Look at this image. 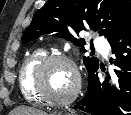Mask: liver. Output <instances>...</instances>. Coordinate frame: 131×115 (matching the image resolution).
I'll return each mask as SVG.
<instances>
[{
    "mask_svg": "<svg viewBox=\"0 0 131 115\" xmlns=\"http://www.w3.org/2000/svg\"><path fill=\"white\" fill-rule=\"evenodd\" d=\"M12 115H47L45 112L30 107H19L12 111Z\"/></svg>",
    "mask_w": 131,
    "mask_h": 115,
    "instance_id": "1",
    "label": "liver"
}]
</instances>
